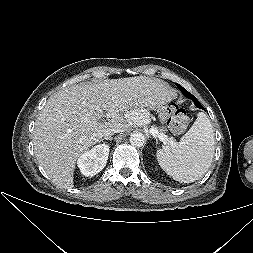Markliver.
Returning <instances> with one entry per match:
<instances>
[{
  "mask_svg": "<svg viewBox=\"0 0 253 253\" xmlns=\"http://www.w3.org/2000/svg\"><path fill=\"white\" fill-rule=\"evenodd\" d=\"M176 97L165 82L145 76L64 88L50 96L36 120L37 161L57 186L72 188L77 159L106 131L145 126L150 122L148 109Z\"/></svg>",
  "mask_w": 253,
  "mask_h": 253,
  "instance_id": "1",
  "label": "liver"
}]
</instances>
